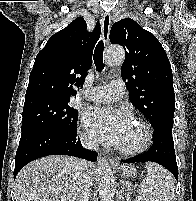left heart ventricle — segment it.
Instances as JSON below:
<instances>
[{"mask_svg":"<svg viewBox=\"0 0 196 201\" xmlns=\"http://www.w3.org/2000/svg\"><path fill=\"white\" fill-rule=\"evenodd\" d=\"M142 138V131L136 123H132L120 143V147L130 149L137 146Z\"/></svg>","mask_w":196,"mask_h":201,"instance_id":"obj_1","label":"left heart ventricle"}]
</instances>
